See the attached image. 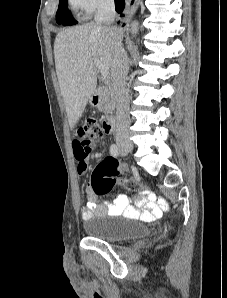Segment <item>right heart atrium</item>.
Returning a JSON list of instances; mask_svg holds the SVG:
<instances>
[{
	"label": "right heart atrium",
	"instance_id": "d8ad5b80",
	"mask_svg": "<svg viewBox=\"0 0 227 298\" xmlns=\"http://www.w3.org/2000/svg\"><path fill=\"white\" fill-rule=\"evenodd\" d=\"M69 2L73 9L89 16L99 10L111 7L114 0H69Z\"/></svg>",
	"mask_w": 227,
	"mask_h": 298
}]
</instances>
